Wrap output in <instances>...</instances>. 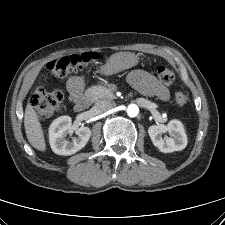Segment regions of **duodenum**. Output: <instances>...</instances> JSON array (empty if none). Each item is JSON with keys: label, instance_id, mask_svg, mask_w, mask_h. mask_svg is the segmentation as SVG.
<instances>
[{"label": "duodenum", "instance_id": "obj_1", "mask_svg": "<svg viewBox=\"0 0 225 225\" xmlns=\"http://www.w3.org/2000/svg\"><path fill=\"white\" fill-rule=\"evenodd\" d=\"M91 101L92 99L90 96H82L81 98H79L78 101L74 104L76 112H85L89 108Z\"/></svg>", "mask_w": 225, "mask_h": 225}]
</instances>
